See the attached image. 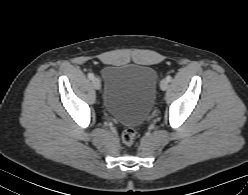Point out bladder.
I'll return each instance as SVG.
<instances>
[{"label": "bladder", "mask_w": 248, "mask_h": 195, "mask_svg": "<svg viewBox=\"0 0 248 195\" xmlns=\"http://www.w3.org/2000/svg\"><path fill=\"white\" fill-rule=\"evenodd\" d=\"M102 75L106 111L127 126L142 123L155 100V69L141 64L108 65Z\"/></svg>", "instance_id": "obj_1"}]
</instances>
